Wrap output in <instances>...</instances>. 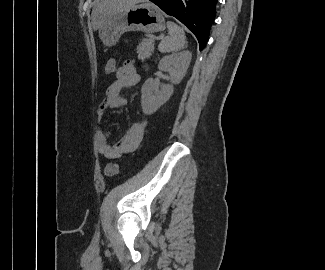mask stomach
Wrapping results in <instances>:
<instances>
[{"mask_svg":"<svg viewBox=\"0 0 325 270\" xmlns=\"http://www.w3.org/2000/svg\"><path fill=\"white\" fill-rule=\"evenodd\" d=\"M165 28V20L159 9L153 4L143 3L109 15L99 28V37L105 46H113L127 31L155 33Z\"/></svg>","mask_w":325,"mask_h":270,"instance_id":"obj_1","label":"stomach"}]
</instances>
